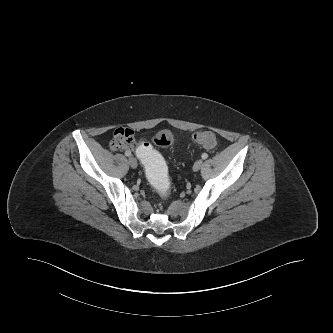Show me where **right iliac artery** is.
Returning <instances> with one entry per match:
<instances>
[{"label": "right iliac artery", "mask_w": 333, "mask_h": 333, "mask_svg": "<svg viewBox=\"0 0 333 333\" xmlns=\"http://www.w3.org/2000/svg\"><path fill=\"white\" fill-rule=\"evenodd\" d=\"M125 155H126L127 157H130L132 154H131L130 151H126V152H125Z\"/></svg>", "instance_id": "82829eb1"}]
</instances>
